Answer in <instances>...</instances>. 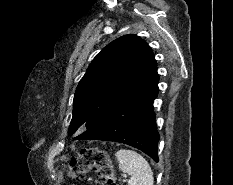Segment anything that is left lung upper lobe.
Instances as JSON below:
<instances>
[{"mask_svg":"<svg viewBox=\"0 0 233 185\" xmlns=\"http://www.w3.org/2000/svg\"><path fill=\"white\" fill-rule=\"evenodd\" d=\"M155 67L154 54L140 37L125 35L109 43L78 84L69 135L97 125L116 100Z\"/></svg>","mask_w":233,"mask_h":185,"instance_id":"5c2ea615","label":"left lung upper lobe"}]
</instances>
